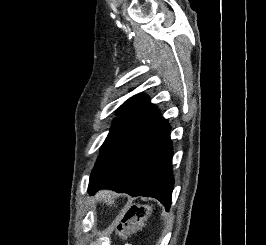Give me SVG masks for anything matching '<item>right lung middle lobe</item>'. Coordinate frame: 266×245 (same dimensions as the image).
I'll use <instances>...</instances> for the list:
<instances>
[{"instance_id":"right-lung-middle-lobe-1","label":"right lung middle lobe","mask_w":266,"mask_h":245,"mask_svg":"<svg viewBox=\"0 0 266 245\" xmlns=\"http://www.w3.org/2000/svg\"><path fill=\"white\" fill-rule=\"evenodd\" d=\"M145 123L144 121H126L115 119L104 144L102 145L100 156L97 162L105 158L128 137L139 130Z\"/></svg>"}]
</instances>
